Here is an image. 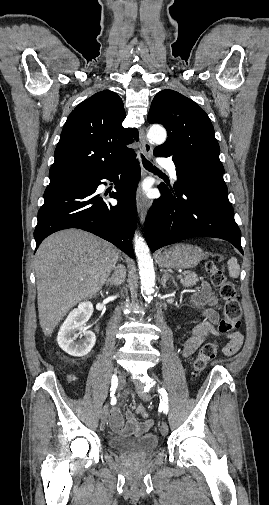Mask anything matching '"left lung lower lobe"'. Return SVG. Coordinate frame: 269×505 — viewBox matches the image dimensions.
<instances>
[{
    "label": "left lung lower lobe",
    "instance_id": "0a47b994",
    "mask_svg": "<svg viewBox=\"0 0 269 505\" xmlns=\"http://www.w3.org/2000/svg\"><path fill=\"white\" fill-rule=\"evenodd\" d=\"M176 173L173 187L158 186L162 196L146 217L144 233L151 251L203 236L227 240L243 254L223 174L191 163L176 166Z\"/></svg>",
    "mask_w": 269,
    "mask_h": 505
}]
</instances>
